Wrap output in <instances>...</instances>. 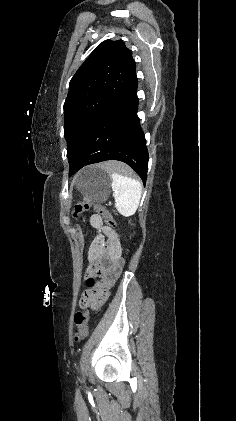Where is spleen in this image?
Returning a JSON list of instances; mask_svg holds the SVG:
<instances>
[{"instance_id":"spleen-1","label":"spleen","mask_w":236,"mask_h":421,"mask_svg":"<svg viewBox=\"0 0 236 421\" xmlns=\"http://www.w3.org/2000/svg\"><path fill=\"white\" fill-rule=\"evenodd\" d=\"M112 190L117 211L123 217L135 215L142 196V184L136 178L123 176L111 170Z\"/></svg>"}]
</instances>
